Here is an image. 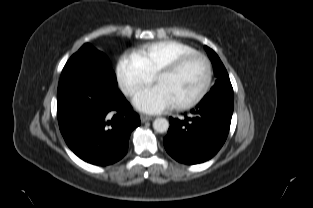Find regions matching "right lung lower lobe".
I'll use <instances>...</instances> for the list:
<instances>
[{
  "label": "right lung lower lobe",
  "mask_w": 313,
  "mask_h": 208,
  "mask_svg": "<svg viewBox=\"0 0 313 208\" xmlns=\"http://www.w3.org/2000/svg\"><path fill=\"white\" fill-rule=\"evenodd\" d=\"M59 128L82 160L109 165L127 152L140 118L117 88L114 71L99 58L79 54L65 65L57 91Z\"/></svg>",
  "instance_id": "98d812e1"
}]
</instances>
